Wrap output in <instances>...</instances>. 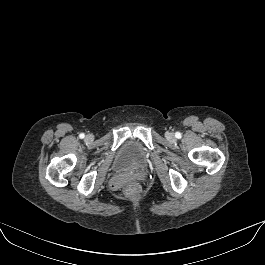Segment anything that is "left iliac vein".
Returning <instances> with one entry per match:
<instances>
[{
    "label": "left iliac vein",
    "instance_id": "left-iliac-vein-1",
    "mask_svg": "<svg viewBox=\"0 0 265 265\" xmlns=\"http://www.w3.org/2000/svg\"><path fill=\"white\" fill-rule=\"evenodd\" d=\"M167 138H168L169 140H173V139H174V134L171 133V132L167 133Z\"/></svg>",
    "mask_w": 265,
    "mask_h": 265
}]
</instances>
